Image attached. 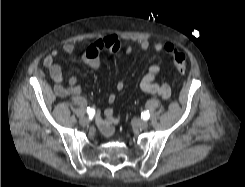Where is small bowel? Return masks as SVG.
<instances>
[{
	"label": "small bowel",
	"instance_id": "obj_1",
	"mask_svg": "<svg viewBox=\"0 0 245 187\" xmlns=\"http://www.w3.org/2000/svg\"><path fill=\"white\" fill-rule=\"evenodd\" d=\"M166 44L162 42H157L153 49L155 52H161L165 50ZM150 43L148 40L143 39L140 41V49L143 51L148 50ZM63 51L66 54H72L75 50L73 43H65L63 45ZM108 50L111 52H119L121 50L120 41L113 35L105 36L98 39L94 43L90 44L82 54V60L92 69H99L100 67V54L102 51ZM125 51L127 53L132 52L130 46L126 47ZM59 56L58 50H53L49 55H47L43 60V65L49 70L50 77L54 81V92L59 97L73 96L77 97L81 94V85L75 74H71L68 79L67 85H63V71L61 66L57 63V58ZM161 72V67L159 65H151L148 69V73L142 78L140 82V88L143 92L149 94H156L163 99H167L171 96V88L166 83H158L156 81L157 76ZM125 87L123 81H118L116 88L118 91H122ZM116 100L115 94L109 96V102H114ZM119 122L118 117L115 115L114 111L107 108L103 111L102 116L98 119V124L106 137H111L115 131V125Z\"/></svg>",
	"mask_w": 245,
	"mask_h": 187
}]
</instances>
